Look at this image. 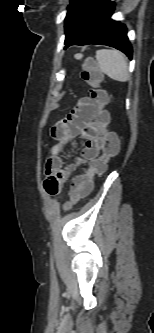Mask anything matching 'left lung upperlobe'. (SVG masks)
I'll use <instances>...</instances> for the list:
<instances>
[{"mask_svg": "<svg viewBox=\"0 0 154 333\" xmlns=\"http://www.w3.org/2000/svg\"><path fill=\"white\" fill-rule=\"evenodd\" d=\"M98 0H70L65 18V44L77 32L83 17Z\"/></svg>", "mask_w": 154, "mask_h": 333, "instance_id": "5c2ea615", "label": "left lung upper lobe"}]
</instances>
